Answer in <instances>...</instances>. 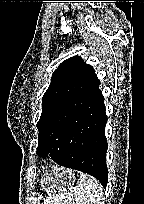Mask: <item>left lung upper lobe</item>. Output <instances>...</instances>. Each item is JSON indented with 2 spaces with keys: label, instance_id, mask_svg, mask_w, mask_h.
Listing matches in <instances>:
<instances>
[{
  "label": "left lung upper lobe",
  "instance_id": "5c2ea615",
  "mask_svg": "<svg viewBox=\"0 0 144 204\" xmlns=\"http://www.w3.org/2000/svg\"><path fill=\"white\" fill-rule=\"evenodd\" d=\"M96 78L93 67L78 56L63 61L54 71L42 98V113L37 123L38 155H46L64 139L69 123L78 113L89 85Z\"/></svg>",
  "mask_w": 144,
  "mask_h": 204
}]
</instances>
